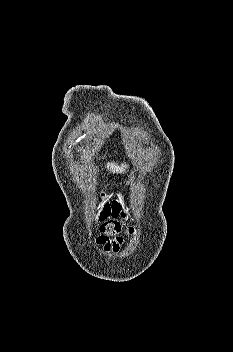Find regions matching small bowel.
<instances>
[{
	"mask_svg": "<svg viewBox=\"0 0 233 352\" xmlns=\"http://www.w3.org/2000/svg\"><path fill=\"white\" fill-rule=\"evenodd\" d=\"M108 217H112L114 219H117L119 217H124V212L121 211L120 205L118 202H114L112 205L111 204H106L102 214H101V219L105 220ZM99 243L104 245L106 250H113V251H118L121 243H122V238H116L113 240H109L107 238L101 237L99 240Z\"/></svg>",
	"mask_w": 233,
	"mask_h": 352,
	"instance_id": "obj_1",
	"label": "small bowel"
}]
</instances>
